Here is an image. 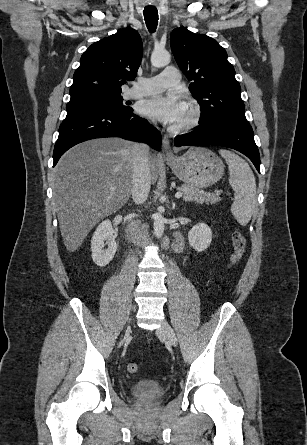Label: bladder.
<instances>
[{"label":"bladder","instance_id":"bladder-1","mask_svg":"<svg viewBox=\"0 0 307 445\" xmlns=\"http://www.w3.org/2000/svg\"><path fill=\"white\" fill-rule=\"evenodd\" d=\"M131 393L140 400H155L164 394V387L157 380L145 379L132 385Z\"/></svg>","mask_w":307,"mask_h":445}]
</instances>
